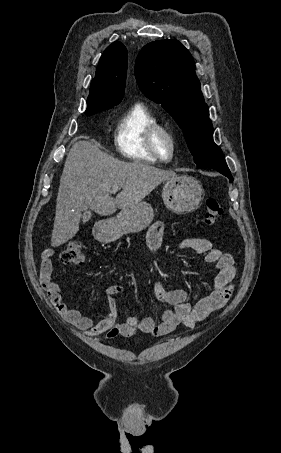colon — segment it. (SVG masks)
I'll return each instance as SVG.
<instances>
[{
    "label": "colon",
    "instance_id": "obj_1",
    "mask_svg": "<svg viewBox=\"0 0 281 453\" xmlns=\"http://www.w3.org/2000/svg\"><path fill=\"white\" fill-rule=\"evenodd\" d=\"M204 223L208 226H217L225 221V212L216 197H208L204 200ZM62 262H86L88 253L83 248L82 243L77 238H70L65 244V249L61 256Z\"/></svg>",
    "mask_w": 281,
    "mask_h": 453
}]
</instances>
